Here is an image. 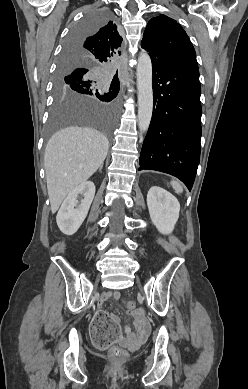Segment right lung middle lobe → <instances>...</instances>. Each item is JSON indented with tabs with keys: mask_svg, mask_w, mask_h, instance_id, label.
Instances as JSON below:
<instances>
[{
	"mask_svg": "<svg viewBox=\"0 0 248 389\" xmlns=\"http://www.w3.org/2000/svg\"><path fill=\"white\" fill-rule=\"evenodd\" d=\"M111 13L108 10H93L70 33L65 48H68L77 39H83L101 26L109 22ZM60 59L58 78L55 88V101L52 108L48 135L57 130L72 125L93 126L101 130L109 139L112 137L114 115L112 108L119 92V85L111 82L104 75H96L100 67L81 62L79 56L69 60ZM87 69L84 74L69 78V74L76 69ZM87 96H96L102 102L93 103Z\"/></svg>",
	"mask_w": 248,
	"mask_h": 389,
	"instance_id": "dd1d6c3e",
	"label": "right lung middle lobe"
}]
</instances>
